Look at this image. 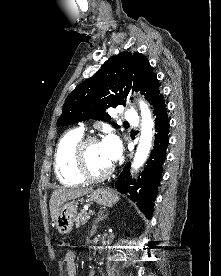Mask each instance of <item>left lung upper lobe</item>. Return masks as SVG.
Segmentation results:
<instances>
[{"label": "left lung upper lobe", "instance_id": "left-lung-upper-lobe-1", "mask_svg": "<svg viewBox=\"0 0 221 276\" xmlns=\"http://www.w3.org/2000/svg\"><path fill=\"white\" fill-rule=\"evenodd\" d=\"M160 84L147 58L138 52H123L110 57L92 77L79 84L67 97L57 125L95 119L108 122L109 107L126 105L129 91L154 104ZM115 128L119 126L112 124Z\"/></svg>", "mask_w": 221, "mask_h": 276}]
</instances>
